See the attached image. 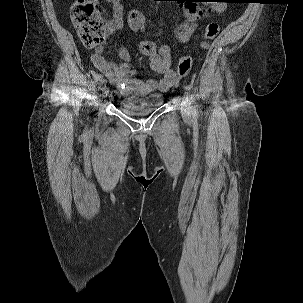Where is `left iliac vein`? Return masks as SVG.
Listing matches in <instances>:
<instances>
[{
  "label": "left iliac vein",
  "mask_w": 303,
  "mask_h": 303,
  "mask_svg": "<svg viewBox=\"0 0 303 303\" xmlns=\"http://www.w3.org/2000/svg\"><path fill=\"white\" fill-rule=\"evenodd\" d=\"M191 103L187 98H183L182 103H181V113L185 119H189L191 116Z\"/></svg>",
  "instance_id": "left-iliac-vein-1"
}]
</instances>
